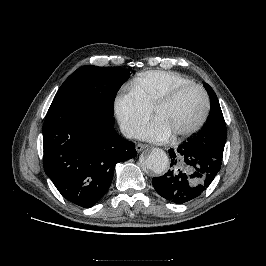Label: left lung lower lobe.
I'll return each instance as SVG.
<instances>
[{
	"instance_id": "obj_1",
	"label": "left lung lower lobe",
	"mask_w": 266,
	"mask_h": 266,
	"mask_svg": "<svg viewBox=\"0 0 266 266\" xmlns=\"http://www.w3.org/2000/svg\"><path fill=\"white\" fill-rule=\"evenodd\" d=\"M169 171L152 179L156 192L177 204L190 201L204 192L220 170L221 160L191 148L186 143L169 149Z\"/></svg>"
}]
</instances>
